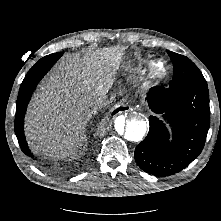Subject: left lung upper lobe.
<instances>
[{"label":"left lung upper lobe","mask_w":221,"mask_h":221,"mask_svg":"<svg viewBox=\"0 0 221 221\" xmlns=\"http://www.w3.org/2000/svg\"><path fill=\"white\" fill-rule=\"evenodd\" d=\"M167 53L174 66V75L169 87H176L188 82L205 80L200 70L190 59L168 50Z\"/></svg>","instance_id":"obj_1"}]
</instances>
